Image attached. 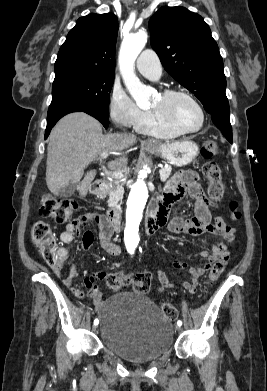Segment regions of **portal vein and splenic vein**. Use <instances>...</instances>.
<instances>
[{
  "label": "portal vein and splenic vein",
  "mask_w": 267,
  "mask_h": 391,
  "mask_svg": "<svg viewBox=\"0 0 267 391\" xmlns=\"http://www.w3.org/2000/svg\"><path fill=\"white\" fill-rule=\"evenodd\" d=\"M108 154L107 153H103L100 155V160L102 159H105L107 158ZM160 169L163 168V166L161 164L158 165ZM105 174L112 177V178H115V179H122L124 177V174L122 171H105Z\"/></svg>",
  "instance_id": "portal-vein-and-splenic-vein-1"
}]
</instances>
